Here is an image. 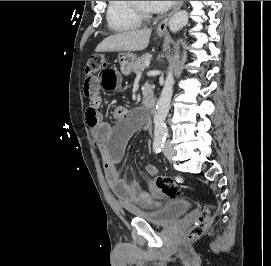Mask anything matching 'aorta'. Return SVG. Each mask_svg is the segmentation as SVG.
<instances>
[{
  "mask_svg": "<svg viewBox=\"0 0 271 266\" xmlns=\"http://www.w3.org/2000/svg\"><path fill=\"white\" fill-rule=\"evenodd\" d=\"M189 20L188 12L181 10L176 12L169 21V29L172 33L180 31ZM174 85L173 63H170L164 86L162 88L159 100L156 105L154 115V138L162 140L167 135L168 129L165 125V119L170 109L171 98Z\"/></svg>",
  "mask_w": 271,
  "mask_h": 266,
  "instance_id": "1",
  "label": "aorta"
}]
</instances>
